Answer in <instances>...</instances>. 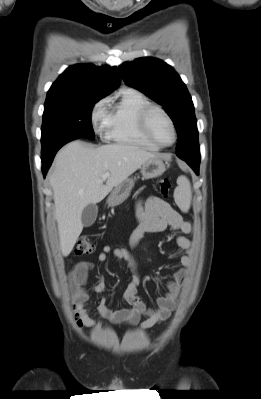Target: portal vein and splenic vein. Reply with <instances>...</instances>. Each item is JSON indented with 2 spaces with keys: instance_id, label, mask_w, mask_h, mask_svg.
<instances>
[{
  "instance_id": "portal-vein-and-splenic-vein-1",
  "label": "portal vein and splenic vein",
  "mask_w": 261,
  "mask_h": 399,
  "mask_svg": "<svg viewBox=\"0 0 261 399\" xmlns=\"http://www.w3.org/2000/svg\"><path fill=\"white\" fill-rule=\"evenodd\" d=\"M109 176H110V174L108 172H106L105 174L102 175V179L106 180Z\"/></svg>"
}]
</instances>
